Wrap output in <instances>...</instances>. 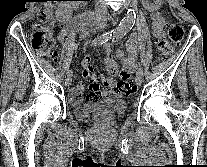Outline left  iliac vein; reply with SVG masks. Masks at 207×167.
<instances>
[{
  "mask_svg": "<svg viewBox=\"0 0 207 167\" xmlns=\"http://www.w3.org/2000/svg\"><path fill=\"white\" fill-rule=\"evenodd\" d=\"M135 82L138 86H140L142 84V75L137 74L135 78Z\"/></svg>",
  "mask_w": 207,
  "mask_h": 167,
  "instance_id": "obj_1",
  "label": "left iliac vein"
}]
</instances>
